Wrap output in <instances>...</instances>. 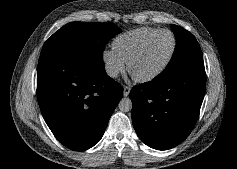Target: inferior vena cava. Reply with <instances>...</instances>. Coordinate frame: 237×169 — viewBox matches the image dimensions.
Returning a JSON list of instances; mask_svg holds the SVG:
<instances>
[{
  "label": "inferior vena cava",
  "mask_w": 237,
  "mask_h": 169,
  "mask_svg": "<svg viewBox=\"0 0 237 169\" xmlns=\"http://www.w3.org/2000/svg\"><path fill=\"white\" fill-rule=\"evenodd\" d=\"M105 69H106V73H107L108 76H110L112 78H117L118 77L119 71L115 67L106 66Z\"/></svg>",
  "instance_id": "inferior-vena-cava-1"
}]
</instances>
